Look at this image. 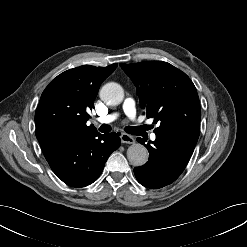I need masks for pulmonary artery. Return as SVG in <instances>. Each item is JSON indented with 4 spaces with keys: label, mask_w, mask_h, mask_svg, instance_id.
Segmentation results:
<instances>
[{
    "label": "pulmonary artery",
    "mask_w": 247,
    "mask_h": 247,
    "mask_svg": "<svg viewBox=\"0 0 247 247\" xmlns=\"http://www.w3.org/2000/svg\"><path fill=\"white\" fill-rule=\"evenodd\" d=\"M123 111L130 118L133 119L136 116L135 102L131 98H127L123 103ZM117 118V114H108L97 119L100 123H111ZM151 140L156 139V134L150 135Z\"/></svg>",
    "instance_id": "pulmonary-artery-1"
}]
</instances>
